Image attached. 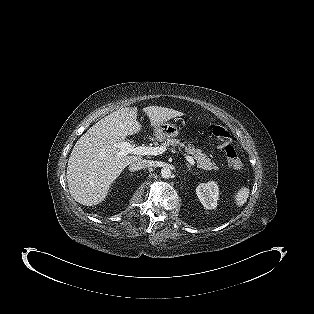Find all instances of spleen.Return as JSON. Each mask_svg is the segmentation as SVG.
<instances>
[{
  "label": "spleen",
  "instance_id": "1",
  "mask_svg": "<svg viewBox=\"0 0 314 314\" xmlns=\"http://www.w3.org/2000/svg\"><path fill=\"white\" fill-rule=\"evenodd\" d=\"M250 190L247 187H241L237 193L235 194V203L238 207H241L244 205V203L247 202V199L249 197Z\"/></svg>",
  "mask_w": 314,
  "mask_h": 314
}]
</instances>
